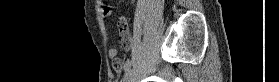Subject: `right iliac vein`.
Listing matches in <instances>:
<instances>
[{
    "mask_svg": "<svg viewBox=\"0 0 279 82\" xmlns=\"http://www.w3.org/2000/svg\"><path fill=\"white\" fill-rule=\"evenodd\" d=\"M131 78H132V71H129V72L126 74V76H125L123 82H131Z\"/></svg>",
    "mask_w": 279,
    "mask_h": 82,
    "instance_id": "1",
    "label": "right iliac vein"
}]
</instances>
